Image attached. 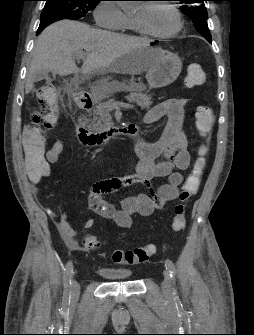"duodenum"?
I'll return each mask as SVG.
<instances>
[{
	"label": "duodenum",
	"instance_id": "duodenum-1",
	"mask_svg": "<svg viewBox=\"0 0 254 335\" xmlns=\"http://www.w3.org/2000/svg\"><path fill=\"white\" fill-rule=\"evenodd\" d=\"M76 102L82 110H89L93 105L91 97L87 94L79 95ZM76 134L82 144L96 147L106 144L117 136H127L135 140L140 134V129L136 124H127L125 126H112L102 131H92L81 119L76 125Z\"/></svg>",
	"mask_w": 254,
	"mask_h": 335
}]
</instances>
